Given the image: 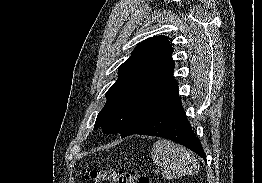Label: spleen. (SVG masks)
Masks as SVG:
<instances>
[{
  "label": "spleen",
  "mask_w": 262,
  "mask_h": 183,
  "mask_svg": "<svg viewBox=\"0 0 262 183\" xmlns=\"http://www.w3.org/2000/svg\"><path fill=\"white\" fill-rule=\"evenodd\" d=\"M151 158L163 169L162 175L167 180L191 175L197 170L194 155L183 146L169 140H157L153 144Z\"/></svg>",
  "instance_id": "3e777b00"
}]
</instances>
